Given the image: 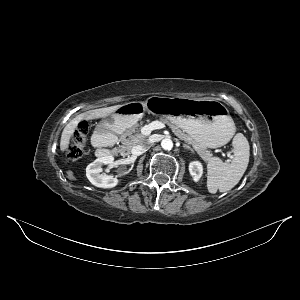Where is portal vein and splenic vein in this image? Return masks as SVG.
<instances>
[{"label": "portal vein and splenic vein", "instance_id": "1", "mask_svg": "<svg viewBox=\"0 0 300 300\" xmlns=\"http://www.w3.org/2000/svg\"><path fill=\"white\" fill-rule=\"evenodd\" d=\"M164 127L165 125L162 122L154 121L151 124L144 126L142 130L145 135H150L153 130L162 129ZM227 156L230 157V154H228Z\"/></svg>", "mask_w": 300, "mask_h": 300}]
</instances>
